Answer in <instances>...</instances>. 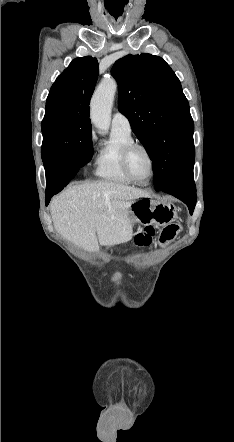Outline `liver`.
<instances>
[{"label": "liver", "mask_w": 234, "mask_h": 442, "mask_svg": "<svg viewBox=\"0 0 234 442\" xmlns=\"http://www.w3.org/2000/svg\"><path fill=\"white\" fill-rule=\"evenodd\" d=\"M149 194L114 182L73 185L53 198L50 212L55 229L90 252L101 246L126 243L133 236L129 222L132 203Z\"/></svg>", "instance_id": "1"}]
</instances>
